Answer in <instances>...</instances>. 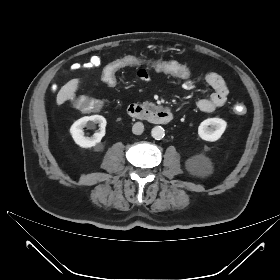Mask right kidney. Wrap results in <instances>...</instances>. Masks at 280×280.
I'll return each instance as SVG.
<instances>
[{
  "instance_id": "ca27d5eb",
  "label": "right kidney",
  "mask_w": 280,
  "mask_h": 280,
  "mask_svg": "<svg viewBox=\"0 0 280 280\" xmlns=\"http://www.w3.org/2000/svg\"><path fill=\"white\" fill-rule=\"evenodd\" d=\"M95 124H99L100 132H97L93 137L85 136L83 128H93ZM106 119L101 115L85 116L73 123L70 128V133L75 143L83 148H90L99 143L105 135Z\"/></svg>"
}]
</instances>
